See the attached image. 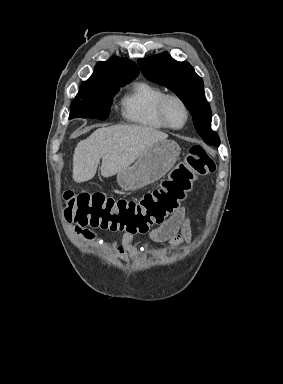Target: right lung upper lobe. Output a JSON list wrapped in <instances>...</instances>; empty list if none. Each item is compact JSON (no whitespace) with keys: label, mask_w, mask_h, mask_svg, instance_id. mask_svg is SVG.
Wrapping results in <instances>:
<instances>
[{"label":"right lung upper lobe","mask_w":283,"mask_h":384,"mask_svg":"<svg viewBox=\"0 0 283 384\" xmlns=\"http://www.w3.org/2000/svg\"><path fill=\"white\" fill-rule=\"evenodd\" d=\"M138 74L139 69L134 62L112 57L108 61L98 62L94 68V73L82 83L80 89L110 83L131 82Z\"/></svg>","instance_id":"1"}]
</instances>
